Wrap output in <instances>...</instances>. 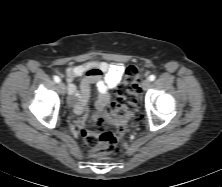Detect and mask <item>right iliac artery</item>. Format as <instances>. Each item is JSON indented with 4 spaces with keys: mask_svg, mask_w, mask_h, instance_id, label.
<instances>
[{
    "mask_svg": "<svg viewBox=\"0 0 222 187\" xmlns=\"http://www.w3.org/2000/svg\"><path fill=\"white\" fill-rule=\"evenodd\" d=\"M54 81H55L56 83H59V82H60V78H59L58 76H54Z\"/></svg>",
    "mask_w": 222,
    "mask_h": 187,
    "instance_id": "right-iliac-artery-1",
    "label": "right iliac artery"
}]
</instances>
